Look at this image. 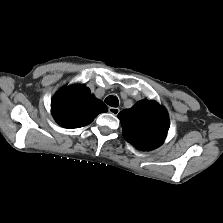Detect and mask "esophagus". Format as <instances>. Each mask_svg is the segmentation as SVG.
<instances>
[{
	"instance_id": "34e87169",
	"label": "esophagus",
	"mask_w": 223,
	"mask_h": 223,
	"mask_svg": "<svg viewBox=\"0 0 223 223\" xmlns=\"http://www.w3.org/2000/svg\"><path fill=\"white\" fill-rule=\"evenodd\" d=\"M109 113L113 114V115H118V113L120 112L119 108L117 107H109L108 108Z\"/></svg>"
}]
</instances>
